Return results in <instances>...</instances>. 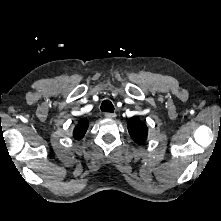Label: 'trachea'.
<instances>
[{
  "mask_svg": "<svg viewBox=\"0 0 221 221\" xmlns=\"http://www.w3.org/2000/svg\"><path fill=\"white\" fill-rule=\"evenodd\" d=\"M101 111L107 112V113L114 112V106L112 102L109 100H104L101 104Z\"/></svg>",
  "mask_w": 221,
  "mask_h": 221,
  "instance_id": "3493384b",
  "label": "trachea"
}]
</instances>
